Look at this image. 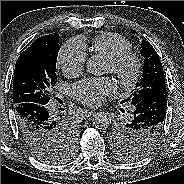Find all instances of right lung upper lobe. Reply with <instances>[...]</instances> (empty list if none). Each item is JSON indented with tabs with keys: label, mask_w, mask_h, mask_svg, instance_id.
<instances>
[{
	"label": "right lung upper lobe",
	"mask_w": 184,
	"mask_h": 184,
	"mask_svg": "<svg viewBox=\"0 0 184 184\" xmlns=\"http://www.w3.org/2000/svg\"><path fill=\"white\" fill-rule=\"evenodd\" d=\"M51 35V34H50ZM50 35H45V36H41L39 38H37L33 43L32 45H43V44H46Z\"/></svg>",
	"instance_id": "right-lung-upper-lobe-1"
}]
</instances>
